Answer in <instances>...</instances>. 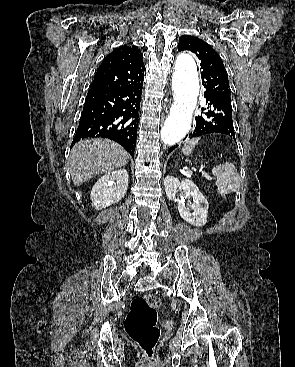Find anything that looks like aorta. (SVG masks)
Here are the masks:
<instances>
[{
	"label": "aorta",
	"instance_id": "1",
	"mask_svg": "<svg viewBox=\"0 0 295 367\" xmlns=\"http://www.w3.org/2000/svg\"><path fill=\"white\" fill-rule=\"evenodd\" d=\"M172 90L174 103L161 130V139L168 145H174L186 136L197 104L199 77L196 63L188 54L177 57Z\"/></svg>",
	"mask_w": 295,
	"mask_h": 367
}]
</instances>
